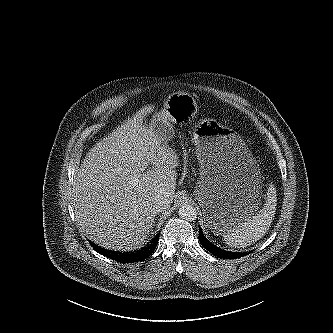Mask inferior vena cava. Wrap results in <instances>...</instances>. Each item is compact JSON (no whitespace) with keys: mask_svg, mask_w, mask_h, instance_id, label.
<instances>
[{"mask_svg":"<svg viewBox=\"0 0 333 333\" xmlns=\"http://www.w3.org/2000/svg\"><path fill=\"white\" fill-rule=\"evenodd\" d=\"M153 206L156 212L163 211L170 207V200L162 195H157L154 198Z\"/></svg>","mask_w":333,"mask_h":333,"instance_id":"inferior-vena-cava-1","label":"inferior vena cava"}]
</instances>
